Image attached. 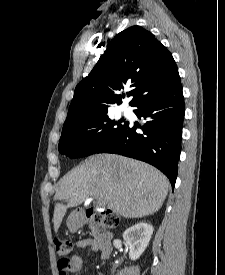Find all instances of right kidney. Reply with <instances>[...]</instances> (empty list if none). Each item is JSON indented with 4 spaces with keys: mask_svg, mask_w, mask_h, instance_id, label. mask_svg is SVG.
Instances as JSON below:
<instances>
[{
    "mask_svg": "<svg viewBox=\"0 0 225 275\" xmlns=\"http://www.w3.org/2000/svg\"><path fill=\"white\" fill-rule=\"evenodd\" d=\"M153 227L145 222H140L123 233V238L129 245V258L131 260L138 259L147 248Z\"/></svg>",
    "mask_w": 225,
    "mask_h": 275,
    "instance_id": "1",
    "label": "right kidney"
}]
</instances>
